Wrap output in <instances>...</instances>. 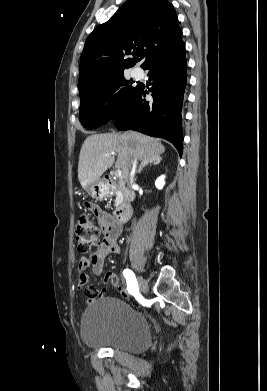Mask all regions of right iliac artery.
I'll use <instances>...</instances> for the list:
<instances>
[{"mask_svg":"<svg viewBox=\"0 0 267 391\" xmlns=\"http://www.w3.org/2000/svg\"><path fill=\"white\" fill-rule=\"evenodd\" d=\"M123 275L127 281L128 292L133 295L137 294L138 293V283H137V280H136L134 273L129 269H125L123 271Z\"/></svg>","mask_w":267,"mask_h":391,"instance_id":"obj_1","label":"right iliac artery"}]
</instances>
